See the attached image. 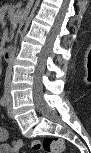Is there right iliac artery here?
<instances>
[{
  "mask_svg": "<svg viewBox=\"0 0 91 153\" xmlns=\"http://www.w3.org/2000/svg\"><path fill=\"white\" fill-rule=\"evenodd\" d=\"M0 105L5 107L7 105V98L6 95L4 94L0 100Z\"/></svg>",
  "mask_w": 91,
  "mask_h": 153,
  "instance_id": "1",
  "label": "right iliac artery"
}]
</instances>
